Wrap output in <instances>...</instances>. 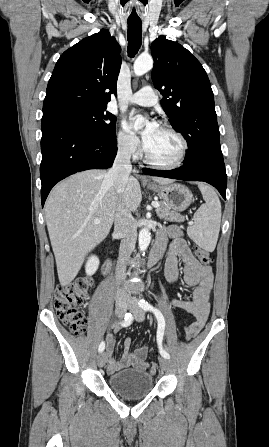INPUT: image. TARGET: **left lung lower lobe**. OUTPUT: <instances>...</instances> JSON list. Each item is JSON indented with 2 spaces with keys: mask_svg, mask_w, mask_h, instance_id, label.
<instances>
[{
  "mask_svg": "<svg viewBox=\"0 0 269 447\" xmlns=\"http://www.w3.org/2000/svg\"><path fill=\"white\" fill-rule=\"evenodd\" d=\"M144 174L213 185L226 199L227 175L222 153L204 155L171 171L143 169Z\"/></svg>",
  "mask_w": 269,
  "mask_h": 447,
  "instance_id": "left-lung-lower-lobe-1",
  "label": "left lung lower lobe"
}]
</instances>
